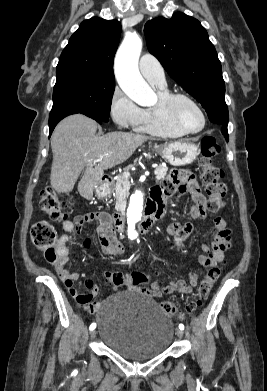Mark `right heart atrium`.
Segmentation results:
<instances>
[{"label":"right heart atrium","mask_w":267,"mask_h":391,"mask_svg":"<svg viewBox=\"0 0 267 391\" xmlns=\"http://www.w3.org/2000/svg\"><path fill=\"white\" fill-rule=\"evenodd\" d=\"M113 122L121 129L135 128L142 116V109L120 89H116L109 105Z\"/></svg>","instance_id":"d8ad5b80"}]
</instances>
